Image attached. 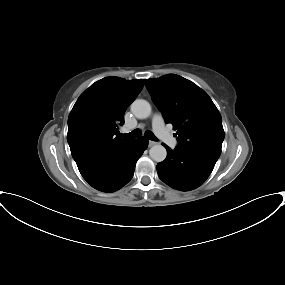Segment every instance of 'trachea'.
Listing matches in <instances>:
<instances>
[{
	"label": "trachea",
	"instance_id": "obj_1",
	"mask_svg": "<svg viewBox=\"0 0 285 285\" xmlns=\"http://www.w3.org/2000/svg\"><path fill=\"white\" fill-rule=\"evenodd\" d=\"M140 135H141L140 129H135V130H133V131L130 132V133L123 134L122 136H123V137H126V138H137V137H139ZM145 136H146L148 139L152 140V141H156V140H157V138L155 137V135H154V133H153L152 131H146V132H145Z\"/></svg>",
	"mask_w": 285,
	"mask_h": 285
}]
</instances>
